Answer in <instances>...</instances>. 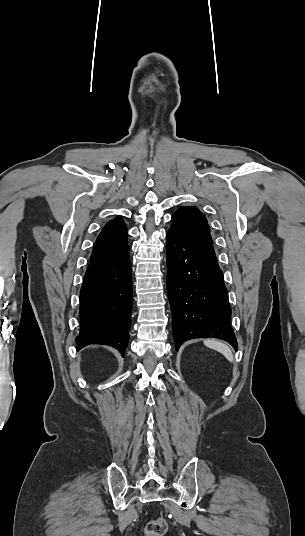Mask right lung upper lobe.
<instances>
[{"label": "right lung upper lobe", "mask_w": 305, "mask_h": 536, "mask_svg": "<svg viewBox=\"0 0 305 536\" xmlns=\"http://www.w3.org/2000/svg\"><path fill=\"white\" fill-rule=\"evenodd\" d=\"M127 246V228L124 221L118 217L108 222L98 238L91 257L105 254Z\"/></svg>", "instance_id": "1"}]
</instances>
